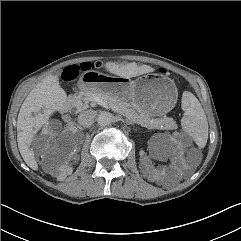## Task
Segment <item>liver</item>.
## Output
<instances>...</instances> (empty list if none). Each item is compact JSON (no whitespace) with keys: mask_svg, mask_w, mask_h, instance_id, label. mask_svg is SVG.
<instances>
[{"mask_svg":"<svg viewBox=\"0 0 241 241\" xmlns=\"http://www.w3.org/2000/svg\"><path fill=\"white\" fill-rule=\"evenodd\" d=\"M104 66L110 73L125 78L154 71L148 65L138 66L135 62H106ZM66 101L67 95L60 87L58 78L48 76L30 91L20 108L17 118L18 148L26 164L33 170H38V164L29 144L40 127L47 123L46 118L34 116L33 113H39L44 107L49 110H64Z\"/></svg>","mask_w":241,"mask_h":241,"instance_id":"6515ba94","label":"liver"}]
</instances>
